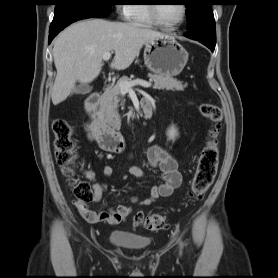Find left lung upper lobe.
Returning <instances> with one entry per match:
<instances>
[{"label":"left lung upper lobe","instance_id":"left-lung-upper-lobe-1","mask_svg":"<svg viewBox=\"0 0 278 278\" xmlns=\"http://www.w3.org/2000/svg\"><path fill=\"white\" fill-rule=\"evenodd\" d=\"M189 32H197L204 38L216 42V28L211 9L214 0H186Z\"/></svg>","mask_w":278,"mask_h":278}]
</instances>
